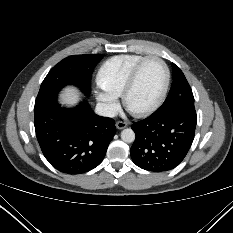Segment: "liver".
I'll return each instance as SVG.
<instances>
[{
	"mask_svg": "<svg viewBox=\"0 0 233 233\" xmlns=\"http://www.w3.org/2000/svg\"><path fill=\"white\" fill-rule=\"evenodd\" d=\"M59 96L61 104H65L67 107H72L77 104L80 93L76 88L68 86L62 91Z\"/></svg>",
	"mask_w": 233,
	"mask_h": 233,
	"instance_id": "1",
	"label": "liver"
}]
</instances>
